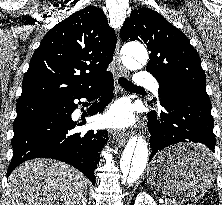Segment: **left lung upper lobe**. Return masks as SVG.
Masks as SVG:
<instances>
[{"label":"left lung upper lobe","instance_id":"left-lung-upper-lobe-1","mask_svg":"<svg viewBox=\"0 0 222 205\" xmlns=\"http://www.w3.org/2000/svg\"><path fill=\"white\" fill-rule=\"evenodd\" d=\"M120 35L123 42L137 40L147 45L151 54L146 70L160 86L179 87L207 95L206 76L197 51L185 34L158 12L145 7L133 10Z\"/></svg>","mask_w":222,"mask_h":205}]
</instances>
